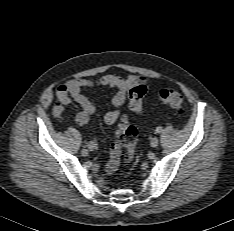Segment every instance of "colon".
I'll list each match as a JSON object with an SVG mask.
<instances>
[{"instance_id": "colon-1", "label": "colon", "mask_w": 234, "mask_h": 231, "mask_svg": "<svg viewBox=\"0 0 234 231\" xmlns=\"http://www.w3.org/2000/svg\"><path fill=\"white\" fill-rule=\"evenodd\" d=\"M147 87L143 81L131 87L128 94L130 109L137 114L142 112L143 99L146 95ZM159 102L172 109H181L184 103L183 96L173 89H162L158 94ZM136 128L129 124L126 116L122 117V121L117 129L116 138L111 147V160L116 166L121 162L122 165L129 167L136 155ZM121 148H124L123 154Z\"/></svg>"}]
</instances>
